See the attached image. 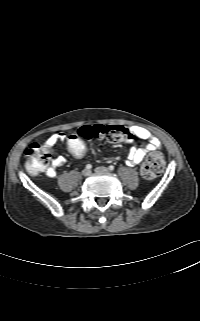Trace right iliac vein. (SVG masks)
Listing matches in <instances>:
<instances>
[{
  "label": "right iliac vein",
  "instance_id": "63e3f726",
  "mask_svg": "<svg viewBox=\"0 0 200 321\" xmlns=\"http://www.w3.org/2000/svg\"><path fill=\"white\" fill-rule=\"evenodd\" d=\"M91 174V171L89 170V169H84L83 171H82V175L84 176V177H87V176H89Z\"/></svg>",
  "mask_w": 200,
  "mask_h": 321
}]
</instances>
